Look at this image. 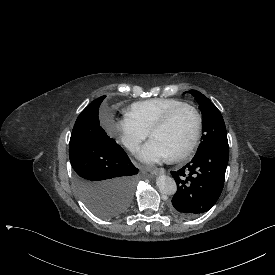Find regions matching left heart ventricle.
<instances>
[{
	"mask_svg": "<svg viewBox=\"0 0 275 275\" xmlns=\"http://www.w3.org/2000/svg\"><path fill=\"white\" fill-rule=\"evenodd\" d=\"M193 132L194 117L189 110H183L173 118L167 128L155 132L152 139L173 156L189 143Z\"/></svg>",
	"mask_w": 275,
	"mask_h": 275,
	"instance_id": "left-heart-ventricle-1",
	"label": "left heart ventricle"
}]
</instances>
